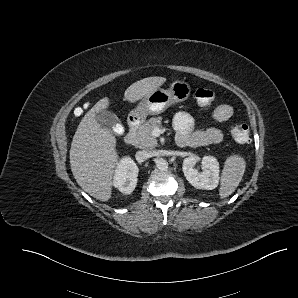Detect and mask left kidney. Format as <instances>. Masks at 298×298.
<instances>
[{
    "mask_svg": "<svg viewBox=\"0 0 298 298\" xmlns=\"http://www.w3.org/2000/svg\"><path fill=\"white\" fill-rule=\"evenodd\" d=\"M195 157L185 158L182 170L187 181L197 189L212 190L218 187L220 182V163L215 156L204 155L202 158V169L195 168Z\"/></svg>",
    "mask_w": 298,
    "mask_h": 298,
    "instance_id": "1",
    "label": "left kidney"
}]
</instances>
